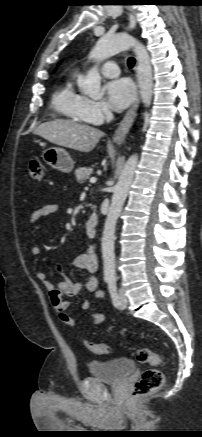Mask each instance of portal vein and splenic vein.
<instances>
[{"mask_svg": "<svg viewBox=\"0 0 202 437\" xmlns=\"http://www.w3.org/2000/svg\"><path fill=\"white\" fill-rule=\"evenodd\" d=\"M97 179L95 177L90 178V183H95Z\"/></svg>", "mask_w": 202, "mask_h": 437, "instance_id": "18ae733b", "label": "portal vein and splenic vein"}]
</instances>
